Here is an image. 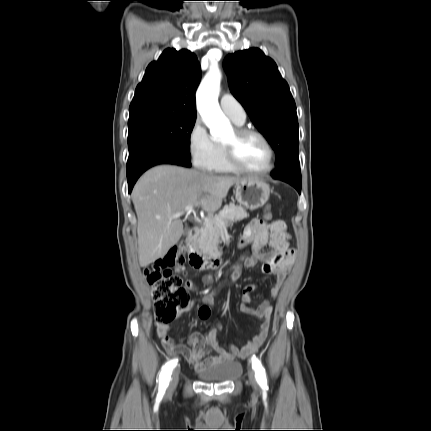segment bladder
<instances>
[{
    "label": "bladder",
    "instance_id": "1",
    "mask_svg": "<svg viewBox=\"0 0 431 431\" xmlns=\"http://www.w3.org/2000/svg\"><path fill=\"white\" fill-rule=\"evenodd\" d=\"M241 373V365L237 362H228L199 371L200 380L208 383H225L235 380Z\"/></svg>",
    "mask_w": 431,
    "mask_h": 431
}]
</instances>
